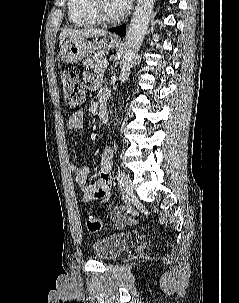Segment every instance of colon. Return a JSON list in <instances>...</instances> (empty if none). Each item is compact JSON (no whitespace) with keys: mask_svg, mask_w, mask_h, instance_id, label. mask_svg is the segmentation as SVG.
Listing matches in <instances>:
<instances>
[{"mask_svg":"<svg viewBox=\"0 0 239 303\" xmlns=\"http://www.w3.org/2000/svg\"><path fill=\"white\" fill-rule=\"evenodd\" d=\"M61 87L64 101L68 108L75 109L80 106L85 99V87L79 76L71 69L65 68L60 73ZM122 220L116 222L121 226ZM86 226L90 232L96 233L101 231L102 222L93 214L86 217Z\"/></svg>","mask_w":239,"mask_h":303,"instance_id":"5ec220e1","label":"colon"}]
</instances>
